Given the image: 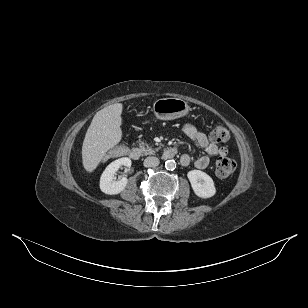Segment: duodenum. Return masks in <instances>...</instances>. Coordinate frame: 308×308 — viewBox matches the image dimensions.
Returning a JSON list of instances; mask_svg holds the SVG:
<instances>
[{
    "label": "duodenum",
    "mask_w": 308,
    "mask_h": 308,
    "mask_svg": "<svg viewBox=\"0 0 308 308\" xmlns=\"http://www.w3.org/2000/svg\"><path fill=\"white\" fill-rule=\"evenodd\" d=\"M176 154H177V150L175 148H168L163 151L162 157L164 159H172L176 156ZM142 156H143V152L139 148H133L129 154V157L134 161L139 160Z\"/></svg>",
    "instance_id": "1"
}]
</instances>
